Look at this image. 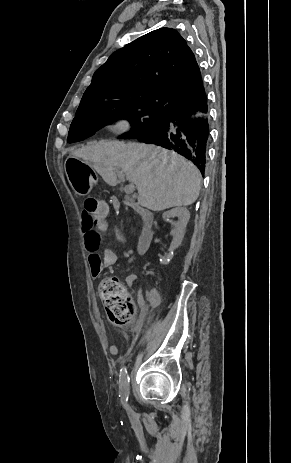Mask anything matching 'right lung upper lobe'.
I'll return each mask as SVG.
<instances>
[{"mask_svg":"<svg viewBox=\"0 0 291 463\" xmlns=\"http://www.w3.org/2000/svg\"><path fill=\"white\" fill-rule=\"evenodd\" d=\"M205 96L187 42L176 30L160 28L113 52L94 73L78 109L132 101L162 113L191 111Z\"/></svg>","mask_w":291,"mask_h":463,"instance_id":"1","label":"right lung upper lobe"}]
</instances>
